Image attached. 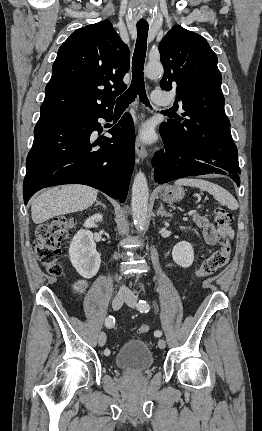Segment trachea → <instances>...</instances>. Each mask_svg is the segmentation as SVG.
<instances>
[{"mask_svg":"<svg viewBox=\"0 0 262 431\" xmlns=\"http://www.w3.org/2000/svg\"><path fill=\"white\" fill-rule=\"evenodd\" d=\"M148 26L137 25V40L132 59V82L130 87L120 97L117 98L115 110H124L131 104L138 95L140 101L149 106L144 86L143 69L147 49ZM170 114V111H165Z\"/></svg>","mask_w":262,"mask_h":431,"instance_id":"3493384b","label":"trachea"}]
</instances>
